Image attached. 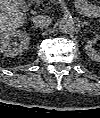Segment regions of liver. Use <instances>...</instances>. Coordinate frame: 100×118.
Listing matches in <instances>:
<instances>
[{
	"label": "liver",
	"instance_id": "6515ba94",
	"mask_svg": "<svg viewBox=\"0 0 100 118\" xmlns=\"http://www.w3.org/2000/svg\"><path fill=\"white\" fill-rule=\"evenodd\" d=\"M25 21L19 0H1L0 31L1 34L20 27Z\"/></svg>",
	"mask_w": 100,
	"mask_h": 118
}]
</instances>
